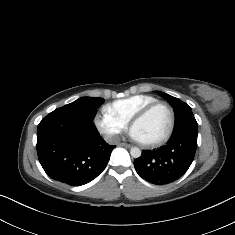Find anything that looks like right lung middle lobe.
<instances>
[{
    "label": "right lung middle lobe",
    "instance_id": "dd1d6c3e",
    "mask_svg": "<svg viewBox=\"0 0 235 235\" xmlns=\"http://www.w3.org/2000/svg\"><path fill=\"white\" fill-rule=\"evenodd\" d=\"M103 102L104 99L100 97H81L78 100L58 109L76 113L88 119L93 120L97 111L96 109Z\"/></svg>",
    "mask_w": 235,
    "mask_h": 235
}]
</instances>
